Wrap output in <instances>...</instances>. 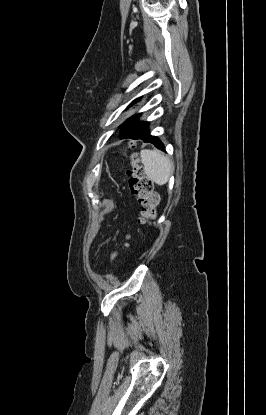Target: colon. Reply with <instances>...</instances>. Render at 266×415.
<instances>
[{
    "label": "colon",
    "mask_w": 266,
    "mask_h": 415,
    "mask_svg": "<svg viewBox=\"0 0 266 415\" xmlns=\"http://www.w3.org/2000/svg\"><path fill=\"white\" fill-rule=\"evenodd\" d=\"M129 186L141 204L140 222L149 224L156 216L159 195L154 189L153 182L146 176L144 167L136 153L130 155L127 169Z\"/></svg>",
    "instance_id": "colon-1"
}]
</instances>
